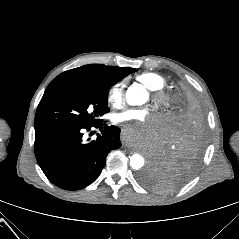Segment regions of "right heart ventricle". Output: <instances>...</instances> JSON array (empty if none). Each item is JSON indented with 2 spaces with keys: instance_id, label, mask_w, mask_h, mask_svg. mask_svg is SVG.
Listing matches in <instances>:
<instances>
[{
  "instance_id": "obj_1",
  "label": "right heart ventricle",
  "mask_w": 239,
  "mask_h": 239,
  "mask_svg": "<svg viewBox=\"0 0 239 239\" xmlns=\"http://www.w3.org/2000/svg\"><path fill=\"white\" fill-rule=\"evenodd\" d=\"M136 80L152 91L163 90L166 80L163 76L154 72H144L136 76Z\"/></svg>"
}]
</instances>
